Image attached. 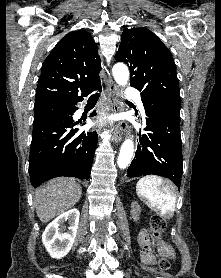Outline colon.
<instances>
[{"instance_id":"colon-1","label":"colon","mask_w":221,"mask_h":278,"mask_svg":"<svg viewBox=\"0 0 221 278\" xmlns=\"http://www.w3.org/2000/svg\"><path fill=\"white\" fill-rule=\"evenodd\" d=\"M166 226V220L161 216H153L150 221V233L154 239V252L159 255L158 265L162 270H169L171 268V256L168 254L161 237Z\"/></svg>"}]
</instances>
